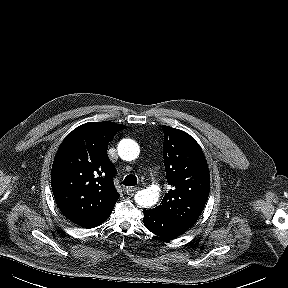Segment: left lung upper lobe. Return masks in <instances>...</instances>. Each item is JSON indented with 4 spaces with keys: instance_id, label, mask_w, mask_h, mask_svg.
<instances>
[{
    "instance_id": "1",
    "label": "left lung upper lobe",
    "mask_w": 288,
    "mask_h": 288,
    "mask_svg": "<svg viewBox=\"0 0 288 288\" xmlns=\"http://www.w3.org/2000/svg\"><path fill=\"white\" fill-rule=\"evenodd\" d=\"M164 132L163 158L168 184L154 213L179 226L190 228L199 218L210 191V175L204 153L186 132L162 126Z\"/></svg>"
}]
</instances>
